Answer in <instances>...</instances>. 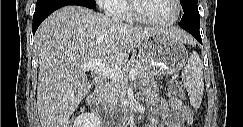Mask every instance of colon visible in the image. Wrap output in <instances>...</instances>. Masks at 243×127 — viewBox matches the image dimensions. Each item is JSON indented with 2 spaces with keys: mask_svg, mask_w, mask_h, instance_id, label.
Returning <instances> with one entry per match:
<instances>
[{
  "mask_svg": "<svg viewBox=\"0 0 243 127\" xmlns=\"http://www.w3.org/2000/svg\"><path fill=\"white\" fill-rule=\"evenodd\" d=\"M168 94L171 98L184 100V92L182 90L180 81L177 78H172L169 80Z\"/></svg>",
  "mask_w": 243,
  "mask_h": 127,
  "instance_id": "obj_1",
  "label": "colon"
}]
</instances>
